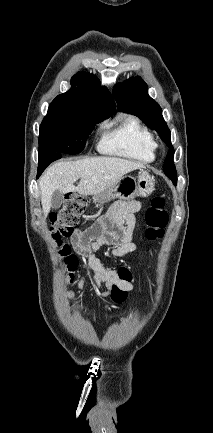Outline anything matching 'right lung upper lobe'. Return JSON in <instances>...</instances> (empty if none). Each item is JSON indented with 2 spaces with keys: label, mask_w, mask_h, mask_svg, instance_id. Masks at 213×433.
Returning <instances> with one entry per match:
<instances>
[{
  "label": "right lung upper lobe",
  "mask_w": 213,
  "mask_h": 433,
  "mask_svg": "<svg viewBox=\"0 0 213 433\" xmlns=\"http://www.w3.org/2000/svg\"><path fill=\"white\" fill-rule=\"evenodd\" d=\"M50 106L72 109L104 120L112 115L115 102L109 90L100 87L96 76L78 72L71 79V89L58 95Z\"/></svg>",
  "instance_id": "obj_1"
}]
</instances>
